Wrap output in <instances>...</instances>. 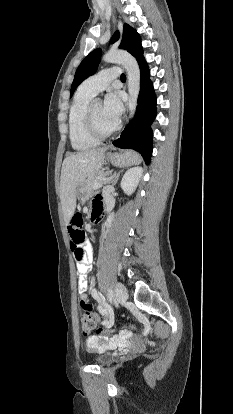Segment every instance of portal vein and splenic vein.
<instances>
[{"mask_svg":"<svg viewBox=\"0 0 233 414\" xmlns=\"http://www.w3.org/2000/svg\"><path fill=\"white\" fill-rule=\"evenodd\" d=\"M103 180L105 181V183H95V184H93V189H98V188L102 187L103 184H106V182L109 181V178H104Z\"/></svg>","mask_w":233,"mask_h":414,"instance_id":"obj_1","label":"portal vein and splenic vein"}]
</instances>
